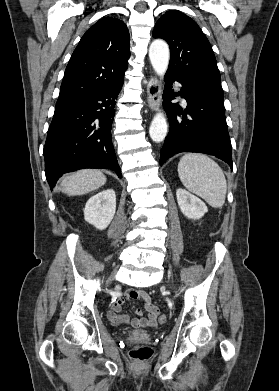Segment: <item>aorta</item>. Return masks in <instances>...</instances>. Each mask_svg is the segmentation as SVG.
<instances>
[{
	"instance_id": "762f6f07",
	"label": "aorta",
	"mask_w": 279,
	"mask_h": 391,
	"mask_svg": "<svg viewBox=\"0 0 279 391\" xmlns=\"http://www.w3.org/2000/svg\"><path fill=\"white\" fill-rule=\"evenodd\" d=\"M169 47L163 40H155L149 47V58L153 69L159 76H164L169 64ZM167 122L164 114L158 112L150 125L149 134L154 142H162L167 135Z\"/></svg>"
}]
</instances>
